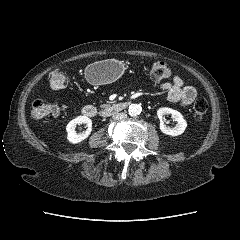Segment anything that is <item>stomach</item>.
<instances>
[{
  "mask_svg": "<svg viewBox=\"0 0 240 240\" xmlns=\"http://www.w3.org/2000/svg\"><path fill=\"white\" fill-rule=\"evenodd\" d=\"M123 65L115 60H102L88 65L85 69L87 80L95 85L109 84L121 77Z\"/></svg>",
  "mask_w": 240,
  "mask_h": 240,
  "instance_id": "obj_1",
  "label": "stomach"
}]
</instances>
